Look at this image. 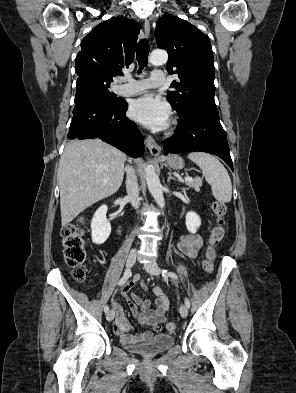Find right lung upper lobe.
Masks as SVG:
<instances>
[{
	"label": "right lung upper lobe",
	"instance_id": "cb5924a9",
	"mask_svg": "<svg viewBox=\"0 0 296 393\" xmlns=\"http://www.w3.org/2000/svg\"><path fill=\"white\" fill-rule=\"evenodd\" d=\"M141 25L126 18H111L97 25L81 42L75 62L78 77L112 82L133 59Z\"/></svg>",
	"mask_w": 296,
	"mask_h": 393
}]
</instances>
